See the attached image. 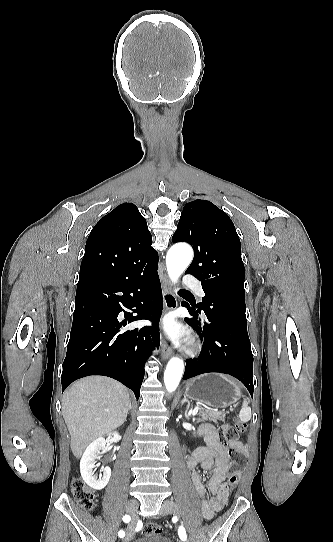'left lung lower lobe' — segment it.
Here are the masks:
<instances>
[{"label":"left lung lower lobe","instance_id":"left-lung-lower-lobe-1","mask_svg":"<svg viewBox=\"0 0 333 542\" xmlns=\"http://www.w3.org/2000/svg\"><path fill=\"white\" fill-rule=\"evenodd\" d=\"M189 303L182 302V306L194 319L185 318V321L204 342L200 355L186 361L183 379L209 372L230 374L239 379L253 396V354L245 308L221 303L214 307L207 320L201 321L194 302Z\"/></svg>","mask_w":333,"mask_h":542}]
</instances>
